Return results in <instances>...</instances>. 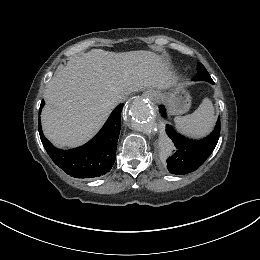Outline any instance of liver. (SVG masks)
<instances>
[{
  "label": "liver",
  "instance_id": "liver-1",
  "mask_svg": "<svg viewBox=\"0 0 260 260\" xmlns=\"http://www.w3.org/2000/svg\"><path fill=\"white\" fill-rule=\"evenodd\" d=\"M173 83L167 63L153 52L93 49L71 58L48 83L43 133L60 148L82 145L102 127L116 106L114 98Z\"/></svg>",
  "mask_w": 260,
  "mask_h": 260
}]
</instances>
